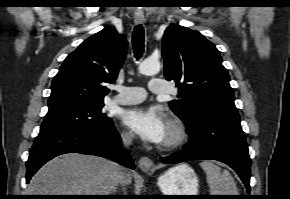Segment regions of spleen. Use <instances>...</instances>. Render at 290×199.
<instances>
[{
  "instance_id": "1",
  "label": "spleen",
  "mask_w": 290,
  "mask_h": 199,
  "mask_svg": "<svg viewBox=\"0 0 290 199\" xmlns=\"http://www.w3.org/2000/svg\"><path fill=\"white\" fill-rule=\"evenodd\" d=\"M200 166L206 173L210 195H238L231 174L211 161H203Z\"/></svg>"
}]
</instances>
